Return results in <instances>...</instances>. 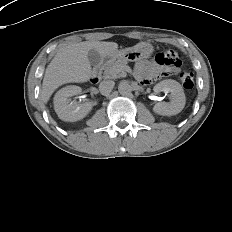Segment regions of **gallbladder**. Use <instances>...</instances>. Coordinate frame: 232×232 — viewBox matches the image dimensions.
Wrapping results in <instances>:
<instances>
[{"mask_svg":"<svg viewBox=\"0 0 232 232\" xmlns=\"http://www.w3.org/2000/svg\"><path fill=\"white\" fill-rule=\"evenodd\" d=\"M87 57L89 59L90 64L93 66H97L98 64H100L101 59H102L100 53L96 51L95 49H91L88 52Z\"/></svg>","mask_w":232,"mask_h":232,"instance_id":"obj_1","label":"gallbladder"}]
</instances>
